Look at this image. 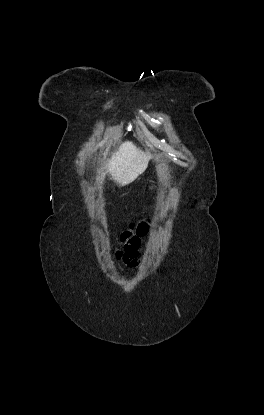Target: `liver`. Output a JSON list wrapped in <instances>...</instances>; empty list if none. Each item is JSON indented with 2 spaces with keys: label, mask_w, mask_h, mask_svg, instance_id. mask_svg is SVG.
Segmentation results:
<instances>
[{
  "label": "liver",
  "mask_w": 264,
  "mask_h": 415,
  "mask_svg": "<svg viewBox=\"0 0 264 415\" xmlns=\"http://www.w3.org/2000/svg\"><path fill=\"white\" fill-rule=\"evenodd\" d=\"M151 155L137 148L132 142L120 145L108 161L107 170L115 182L121 186L132 183L148 166Z\"/></svg>",
  "instance_id": "liver-1"
}]
</instances>
